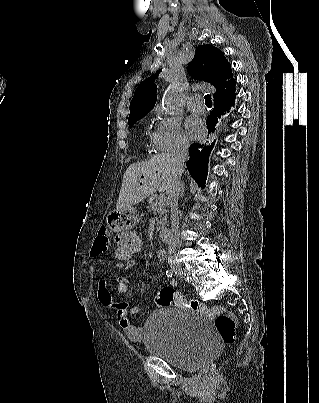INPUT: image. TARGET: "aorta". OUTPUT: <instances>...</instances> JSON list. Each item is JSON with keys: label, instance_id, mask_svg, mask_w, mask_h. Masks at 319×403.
<instances>
[{"label": "aorta", "instance_id": "aorta-1", "mask_svg": "<svg viewBox=\"0 0 319 403\" xmlns=\"http://www.w3.org/2000/svg\"><path fill=\"white\" fill-rule=\"evenodd\" d=\"M179 94L180 88L177 85L173 84L167 88L163 95L161 104L166 113L170 115L176 113L179 105Z\"/></svg>", "mask_w": 319, "mask_h": 403}]
</instances>
